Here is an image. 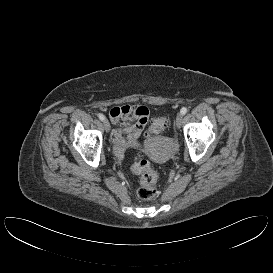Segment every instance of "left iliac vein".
I'll return each instance as SVG.
<instances>
[{"instance_id": "1", "label": "left iliac vein", "mask_w": 273, "mask_h": 273, "mask_svg": "<svg viewBox=\"0 0 273 273\" xmlns=\"http://www.w3.org/2000/svg\"><path fill=\"white\" fill-rule=\"evenodd\" d=\"M175 124L177 126V128H180L183 124V115L180 113L177 115L176 119H175Z\"/></svg>"}]
</instances>
